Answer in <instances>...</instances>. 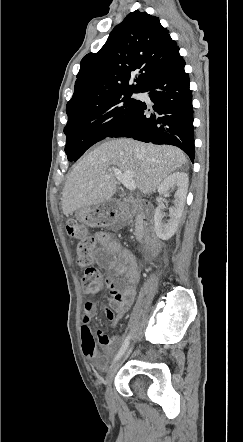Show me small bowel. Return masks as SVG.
Segmentation results:
<instances>
[{"label":"small bowel","mask_w":243,"mask_h":442,"mask_svg":"<svg viewBox=\"0 0 243 442\" xmlns=\"http://www.w3.org/2000/svg\"><path fill=\"white\" fill-rule=\"evenodd\" d=\"M95 236L101 246L94 256L95 263L114 272L108 279L110 298L108 306L104 307V313L108 321L116 324L125 316L135 300L140 269L135 256L111 234L99 231ZM96 314L97 305L92 301L85 302L80 327L82 352L92 361L95 368L104 370L120 343V338L109 336L98 329L95 335L104 348V354L100 353L89 326Z\"/></svg>","instance_id":"small-bowel-1"}]
</instances>
